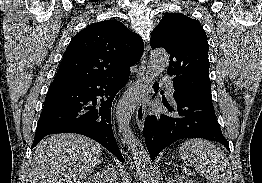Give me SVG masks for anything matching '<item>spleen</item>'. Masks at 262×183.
<instances>
[{
	"label": "spleen",
	"mask_w": 262,
	"mask_h": 183,
	"mask_svg": "<svg viewBox=\"0 0 262 183\" xmlns=\"http://www.w3.org/2000/svg\"><path fill=\"white\" fill-rule=\"evenodd\" d=\"M179 153L200 176L212 183H232L228 159L212 142L199 138L188 139L181 144Z\"/></svg>",
	"instance_id": "spleen-1"
}]
</instances>
